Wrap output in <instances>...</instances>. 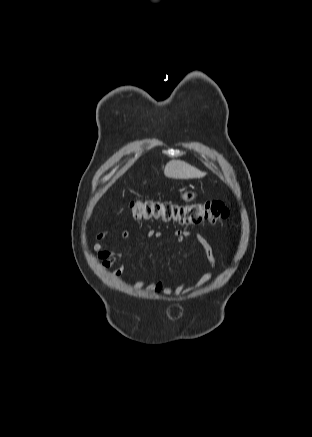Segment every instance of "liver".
<instances>
[{"mask_svg": "<svg viewBox=\"0 0 312 437\" xmlns=\"http://www.w3.org/2000/svg\"><path fill=\"white\" fill-rule=\"evenodd\" d=\"M164 174L166 177L176 179L202 178L206 175L205 172L181 160L169 161L165 166Z\"/></svg>", "mask_w": 312, "mask_h": 437, "instance_id": "1", "label": "liver"}]
</instances>
